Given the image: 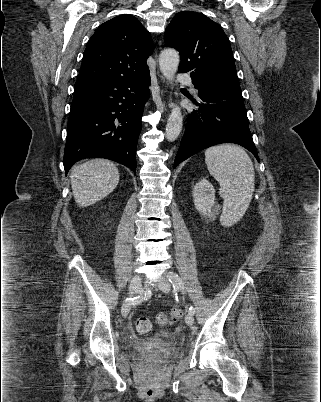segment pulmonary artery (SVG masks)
Segmentation results:
<instances>
[{
  "instance_id": "1",
  "label": "pulmonary artery",
  "mask_w": 321,
  "mask_h": 402,
  "mask_svg": "<svg viewBox=\"0 0 321 402\" xmlns=\"http://www.w3.org/2000/svg\"><path fill=\"white\" fill-rule=\"evenodd\" d=\"M177 82L181 84H191L192 79L188 74H179L177 77Z\"/></svg>"
}]
</instances>
